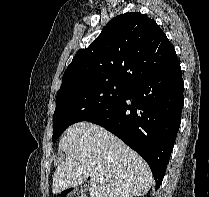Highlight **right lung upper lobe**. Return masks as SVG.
Here are the masks:
<instances>
[{"instance_id": "cb5924a9", "label": "right lung upper lobe", "mask_w": 209, "mask_h": 197, "mask_svg": "<svg viewBox=\"0 0 209 197\" xmlns=\"http://www.w3.org/2000/svg\"><path fill=\"white\" fill-rule=\"evenodd\" d=\"M176 57L173 45L154 20L127 12L110 20L88 48L76 53L64 72L61 88L107 80L133 86Z\"/></svg>"}]
</instances>
